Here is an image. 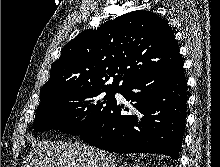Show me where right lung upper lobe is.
I'll return each mask as SVG.
<instances>
[{"label":"right lung upper lobe","instance_id":"right-lung-upper-lobe-1","mask_svg":"<svg viewBox=\"0 0 220 167\" xmlns=\"http://www.w3.org/2000/svg\"><path fill=\"white\" fill-rule=\"evenodd\" d=\"M181 64L174 29L153 12L136 10L97 30H84L67 43L51 66L40 99L84 87L119 90L137 78ZM110 77L112 84L105 86Z\"/></svg>","mask_w":220,"mask_h":167}]
</instances>
